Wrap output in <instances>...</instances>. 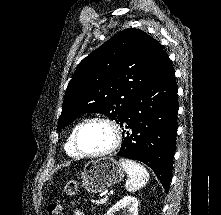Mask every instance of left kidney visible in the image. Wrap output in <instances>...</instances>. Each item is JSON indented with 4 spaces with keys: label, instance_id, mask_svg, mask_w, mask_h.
Here are the masks:
<instances>
[{
    "label": "left kidney",
    "instance_id": "obj_1",
    "mask_svg": "<svg viewBox=\"0 0 221 215\" xmlns=\"http://www.w3.org/2000/svg\"><path fill=\"white\" fill-rule=\"evenodd\" d=\"M121 209H127L128 215H138V201L133 196H125L112 206L105 215H115V213Z\"/></svg>",
    "mask_w": 221,
    "mask_h": 215
}]
</instances>
